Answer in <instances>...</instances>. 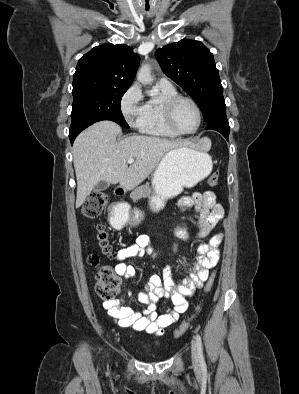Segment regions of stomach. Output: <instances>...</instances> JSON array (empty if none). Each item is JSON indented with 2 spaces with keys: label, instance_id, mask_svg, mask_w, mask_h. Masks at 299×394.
Returning <instances> with one entry per match:
<instances>
[{
  "label": "stomach",
  "instance_id": "1",
  "mask_svg": "<svg viewBox=\"0 0 299 394\" xmlns=\"http://www.w3.org/2000/svg\"><path fill=\"white\" fill-rule=\"evenodd\" d=\"M211 157L201 151L181 146L169 151L160 161L152 175L153 195L150 206L159 211L165 206L167 199L173 198L183 191L184 187H193L205 179L212 171ZM142 218L138 210L126 217L136 223Z\"/></svg>",
  "mask_w": 299,
  "mask_h": 394
}]
</instances>
